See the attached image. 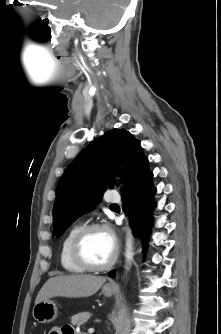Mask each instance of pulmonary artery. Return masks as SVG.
Here are the masks:
<instances>
[{
  "label": "pulmonary artery",
  "mask_w": 221,
  "mask_h": 334,
  "mask_svg": "<svg viewBox=\"0 0 221 334\" xmlns=\"http://www.w3.org/2000/svg\"><path fill=\"white\" fill-rule=\"evenodd\" d=\"M109 192H111V191H109ZM106 199V201H108V202H118L119 201V199H118V197H116V196H113V195H111V194H108L107 195V197L105 198Z\"/></svg>",
  "instance_id": "e3ab8cb5"
}]
</instances>
